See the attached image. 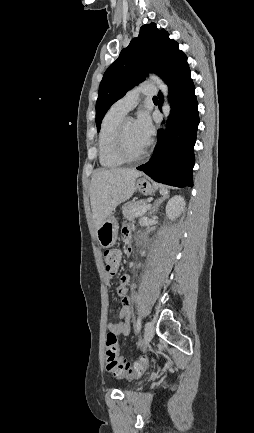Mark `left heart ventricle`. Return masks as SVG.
I'll return each instance as SVG.
<instances>
[{
    "mask_svg": "<svg viewBox=\"0 0 254 433\" xmlns=\"http://www.w3.org/2000/svg\"><path fill=\"white\" fill-rule=\"evenodd\" d=\"M124 140L126 149L131 154H138L148 143L137 132L135 122L132 119H129L125 124Z\"/></svg>",
    "mask_w": 254,
    "mask_h": 433,
    "instance_id": "b2bd125f",
    "label": "left heart ventricle"
}]
</instances>
